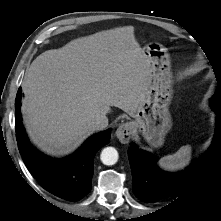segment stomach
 <instances>
[{
    "mask_svg": "<svg viewBox=\"0 0 221 221\" xmlns=\"http://www.w3.org/2000/svg\"><path fill=\"white\" fill-rule=\"evenodd\" d=\"M150 59L151 84L138 110L129 123L132 133H141L153 147H160L171 129L169 106L173 98L170 57L159 43H149L143 48Z\"/></svg>",
    "mask_w": 221,
    "mask_h": 221,
    "instance_id": "stomach-1",
    "label": "stomach"
}]
</instances>
